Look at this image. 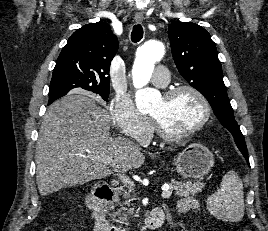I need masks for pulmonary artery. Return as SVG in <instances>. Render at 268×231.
Listing matches in <instances>:
<instances>
[{
  "instance_id": "pulmonary-artery-1",
  "label": "pulmonary artery",
  "mask_w": 268,
  "mask_h": 231,
  "mask_svg": "<svg viewBox=\"0 0 268 231\" xmlns=\"http://www.w3.org/2000/svg\"><path fill=\"white\" fill-rule=\"evenodd\" d=\"M152 81L161 87H165L169 84L170 78L167 71V68L163 65L157 67V71L153 75Z\"/></svg>"
}]
</instances>
